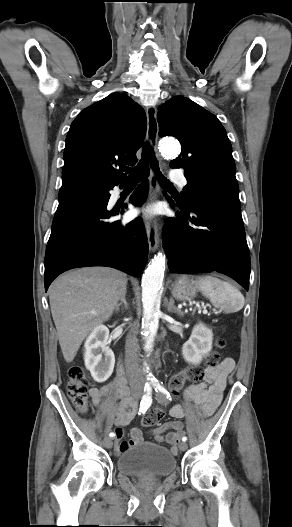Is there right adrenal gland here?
Returning a JSON list of instances; mask_svg holds the SVG:
<instances>
[{
	"instance_id": "2a0ac1e0",
	"label": "right adrenal gland",
	"mask_w": 292,
	"mask_h": 527,
	"mask_svg": "<svg viewBox=\"0 0 292 527\" xmlns=\"http://www.w3.org/2000/svg\"><path fill=\"white\" fill-rule=\"evenodd\" d=\"M124 307L125 309H128V303L126 301V292L122 295V297L120 298V302L117 304L116 308H115V311L116 312H119L120 311V307Z\"/></svg>"
}]
</instances>
